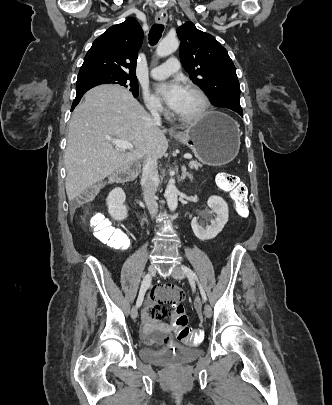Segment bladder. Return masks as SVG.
I'll return each instance as SVG.
<instances>
[{
    "label": "bladder",
    "mask_w": 332,
    "mask_h": 405,
    "mask_svg": "<svg viewBox=\"0 0 332 405\" xmlns=\"http://www.w3.org/2000/svg\"><path fill=\"white\" fill-rule=\"evenodd\" d=\"M144 346L139 350V358L144 362L160 365L186 364L198 358L202 351L177 343H153L143 335Z\"/></svg>",
    "instance_id": "bladder-1"
}]
</instances>
